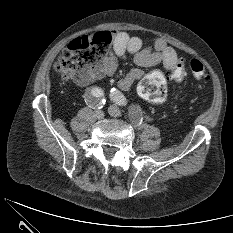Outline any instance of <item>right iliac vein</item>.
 I'll return each instance as SVG.
<instances>
[{
	"mask_svg": "<svg viewBox=\"0 0 233 233\" xmlns=\"http://www.w3.org/2000/svg\"><path fill=\"white\" fill-rule=\"evenodd\" d=\"M95 117L97 119H102L104 117V112L102 110H100V109H96V111H95Z\"/></svg>",
	"mask_w": 233,
	"mask_h": 233,
	"instance_id": "obj_1",
	"label": "right iliac vein"
}]
</instances>
